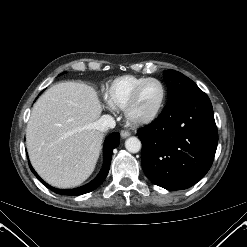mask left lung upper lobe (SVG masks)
Returning <instances> with one entry per match:
<instances>
[{
    "label": "left lung upper lobe",
    "instance_id": "left-lung-upper-lobe-1",
    "mask_svg": "<svg viewBox=\"0 0 247 247\" xmlns=\"http://www.w3.org/2000/svg\"><path fill=\"white\" fill-rule=\"evenodd\" d=\"M164 79L168 88V99L184 92L199 89L191 79L175 70L164 72Z\"/></svg>",
    "mask_w": 247,
    "mask_h": 247
}]
</instances>
